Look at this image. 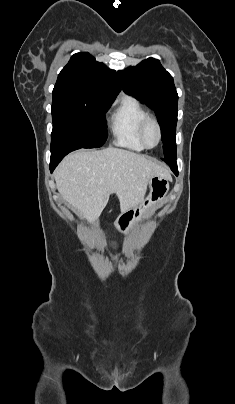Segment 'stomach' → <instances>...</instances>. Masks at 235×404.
I'll return each instance as SVG.
<instances>
[{
    "instance_id": "1",
    "label": "stomach",
    "mask_w": 235,
    "mask_h": 404,
    "mask_svg": "<svg viewBox=\"0 0 235 404\" xmlns=\"http://www.w3.org/2000/svg\"><path fill=\"white\" fill-rule=\"evenodd\" d=\"M148 185L149 194L143 202L121 213L116 219L114 225L120 233L129 234L143 219L164 203L169 191L168 179L155 176L150 179Z\"/></svg>"
}]
</instances>
